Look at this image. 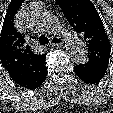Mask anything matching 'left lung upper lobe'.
<instances>
[{"label": "left lung upper lobe", "instance_id": "1", "mask_svg": "<svg viewBox=\"0 0 113 113\" xmlns=\"http://www.w3.org/2000/svg\"><path fill=\"white\" fill-rule=\"evenodd\" d=\"M68 22L88 44L89 62L104 67L109 64L110 42L102 20L90 0H55Z\"/></svg>", "mask_w": 113, "mask_h": 113}]
</instances>
